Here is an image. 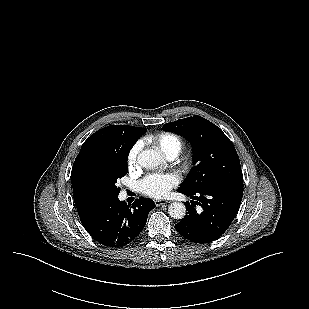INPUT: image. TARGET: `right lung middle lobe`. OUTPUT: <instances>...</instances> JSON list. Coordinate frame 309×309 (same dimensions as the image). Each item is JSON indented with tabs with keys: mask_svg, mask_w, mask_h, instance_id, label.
Segmentation results:
<instances>
[{
	"mask_svg": "<svg viewBox=\"0 0 309 309\" xmlns=\"http://www.w3.org/2000/svg\"><path fill=\"white\" fill-rule=\"evenodd\" d=\"M128 145L117 144L104 151L94 165V179L100 196L105 199L118 197L117 180L127 174Z\"/></svg>",
	"mask_w": 309,
	"mask_h": 309,
	"instance_id": "dd1d6c3e",
	"label": "right lung middle lobe"
}]
</instances>
